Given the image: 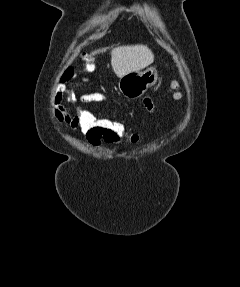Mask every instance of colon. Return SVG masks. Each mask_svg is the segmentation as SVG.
<instances>
[{"label": "colon", "mask_w": 240, "mask_h": 287, "mask_svg": "<svg viewBox=\"0 0 240 287\" xmlns=\"http://www.w3.org/2000/svg\"><path fill=\"white\" fill-rule=\"evenodd\" d=\"M85 68L87 72H90L93 70V64L87 61ZM87 84L88 79L86 77H78L73 69L69 67L61 75L60 82L57 85L58 93L65 104L72 124L85 135H96L112 140L124 139L132 145L138 144L140 135L130 132L123 122L101 117L85 108V94H80L78 89ZM172 88L175 91V99L180 100L182 98V93L179 91V84L173 82Z\"/></svg>", "instance_id": "5ec220e1"}]
</instances>
